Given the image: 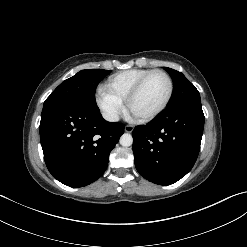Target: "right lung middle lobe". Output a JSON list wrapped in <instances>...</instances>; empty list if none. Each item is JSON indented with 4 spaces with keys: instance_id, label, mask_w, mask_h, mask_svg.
<instances>
[{
    "instance_id": "right-lung-middle-lobe-1",
    "label": "right lung middle lobe",
    "mask_w": 247,
    "mask_h": 247,
    "mask_svg": "<svg viewBox=\"0 0 247 247\" xmlns=\"http://www.w3.org/2000/svg\"><path fill=\"white\" fill-rule=\"evenodd\" d=\"M111 70H82L73 77L63 81L45 100L44 105L51 102L69 101L86 106H97L95 90L98 83Z\"/></svg>"
}]
</instances>
